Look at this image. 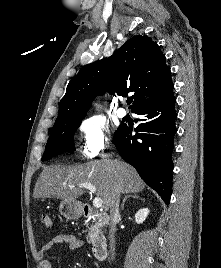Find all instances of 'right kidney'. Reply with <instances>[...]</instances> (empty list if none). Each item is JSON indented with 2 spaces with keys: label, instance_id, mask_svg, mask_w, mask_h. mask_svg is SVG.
I'll list each match as a JSON object with an SVG mask.
<instances>
[{
  "label": "right kidney",
  "instance_id": "1",
  "mask_svg": "<svg viewBox=\"0 0 221 268\" xmlns=\"http://www.w3.org/2000/svg\"><path fill=\"white\" fill-rule=\"evenodd\" d=\"M148 214H149V209L148 208L140 209L135 214V222L137 224L143 223V221H145V219L147 218Z\"/></svg>",
  "mask_w": 221,
  "mask_h": 268
}]
</instances>
